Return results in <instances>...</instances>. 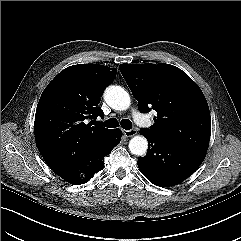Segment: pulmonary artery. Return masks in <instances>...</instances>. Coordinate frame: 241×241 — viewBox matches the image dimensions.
I'll return each instance as SVG.
<instances>
[{"label": "pulmonary artery", "instance_id": "e3ab8cb5", "mask_svg": "<svg viewBox=\"0 0 241 241\" xmlns=\"http://www.w3.org/2000/svg\"><path fill=\"white\" fill-rule=\"evenodd\" d=\"M134 117H135V119H136L139 123H144L141 115H140L138 112H135V113H134Z\"/></svg>", "mask_w": 241, "mask_h": 241}]
</instances>
